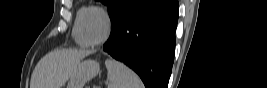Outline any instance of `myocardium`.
<instances>
[{"label": "myocardium", "mask_w": 267, "mask_h": 88, "mask_svg": "<svg viewBox=\"0 0 267 88\" xmlns=\"http://www.w3.org/2000/svg\"><path fill=\"white\" fill-rule=\"evenodd\" d=\"M92 12H96L98 14H100L104 20H105V23H106V31H105V34L104 36L97 42H91L89 41L86 36H85V32H84V23H85V20L87 18V16L92 13ZM111 28H112V23H111V18H110V15L108 14V12L106 10H104L103 8H100V7H92L88 10H86L84 12V14L82 15V18H81V24H80V35H81V38L82 40L84 41V43L86 44V46H91V47H95V46H99V45H102L109 37L110 33H111Z\"/></svg>", "instance_id": "myocardium-1"}]
</instances>
